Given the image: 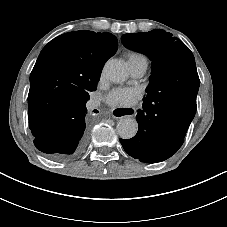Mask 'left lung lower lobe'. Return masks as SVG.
I'll return each mask as SVG.
<instances>
[{
  "instance_id": "0a47b994",
  "label": "left lung lower lobe",
  "mask_w": 227,
  "mask_h": 227,
  "mask_svg": "<svg viewBox=\"0 0 227 227\" xmlns=\"http://www.w3.org/2000/svg\"><path fill=\"white\" fill-rule=\"evenodd\" d=\"M199 84V79H191L170 96L143 100L136 116L137 134L120 139L125 152L145 163L161 162L175 154L195 116Z\"/></svg>"
}]
</instances>
